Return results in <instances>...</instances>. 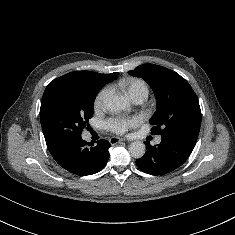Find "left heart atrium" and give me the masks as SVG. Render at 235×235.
<instances>
[{
    "label": "left heart atrium",
    "instance_id": "1",
    "mask_svg": "<svg viewBox=\"0 0 235 235\" xmlns=\"http://www.w3.org/2000/svg\"><path fill=\"white\" fill-rule=\"evenodd\" d=\"M139 122L140 118L137 116H117L110 118L106 122V127L114 133L124 134L129 129L138 125Z\"/></svg>",
    "mask_w": 235,
    "mask_h": 235
}]
</instances>
